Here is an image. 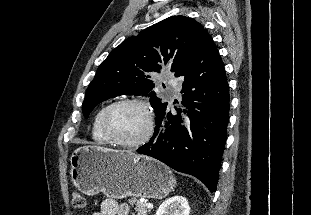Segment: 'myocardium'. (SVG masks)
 <instances>
[{"label": "myocardium", "mask_w": 311, "mask_h": 215, "mask_svg": "<svg viewBox=\"0 0 311 215\" xmlns=\"http://www.w3.org/2000/svg\"><path fill=\"white\" fill-rule=\"evenodd\" d=\"M127 104H133V105H137L140 106L147 115V129L145 131V133L143 134V136L141 138H139L138 140L135 141H123L119 138H117L111 131L110 127H109V118L111 113L119 106L121 105H127ZM101 129L102 132L104 133V135L107 137V139L118 146L121 147H125V148H138L142 145H144L145 143H147L154 131V116H153V112L152 109L150 108L149 104L141 99V98H136V97H132V98H123L120 100H117L111 104H109L101 117Z\"/></svg>", "instance_id": "f54148a6"}]
</instances>
